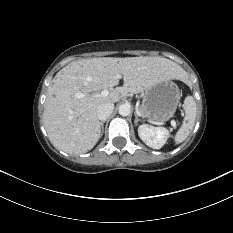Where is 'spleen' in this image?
I'll list each match as a JSON object with an SVG mask.
<instances>
[{"label": "spleen", "instance_id": "3e777b00", "mask_svg": "<svg viewBox=\"0 0 233 233\" xmlns=\"http://www.w3.org/2000/svg\"><path fill=\"white\" fill-rule=\"evenodd\" d=\"M183 108L186 115L184 117L182 126L179 128L174 137L176 144L184 142L193 130L196 118V103L192 96H187L185 98Z\"/></svg>", "mask_w": 233, "mask_h": 233}]
</instances>
